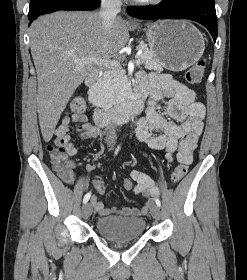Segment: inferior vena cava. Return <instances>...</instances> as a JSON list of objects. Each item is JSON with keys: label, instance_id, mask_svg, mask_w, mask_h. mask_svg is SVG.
<instances>
[{"label": "inferior vena cava", "instance_id": "602c4592", "mask_svg": "<svg viewBox=\"0 0 247 280\" xmlns=\"http://www.w3.org/2000/svg\"><path fill=\"white\" fill-rule=\"evenodd\" d=\"M121 0H101V10L99 12L102 18V24L105 29H110L116 19V15L121 11ZM109 139L114 141L116 134L114 128L109 131Z\"/></svg>", "mask_w": 247, "mask_h": 280}]
</instances>
